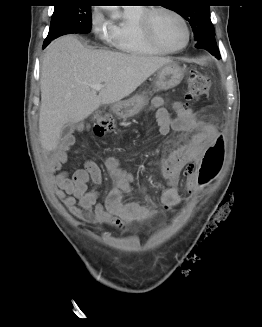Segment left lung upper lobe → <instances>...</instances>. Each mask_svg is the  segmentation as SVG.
Segmentation results:
<instances>
[{
    "label": "left lung upper lobe",
    "mask_w": 262,
    "mask_h": 327,
    "mask_svg": "<svg viewBox=\"0 0 262 327\" xmlns=\"http://www.w3.org/2000/svg\"><path fill=\"white\" fill-rule=\"evenodd\" d=\"M182 0H170L168 6L171 10L179 13L191 25L194 38L197 41L208 35H215L210 19V9L208 5L202 4V0H193V5H183Z\"/></svg>",
    "instance_id": "5c2ea615"
}]
</instances>
